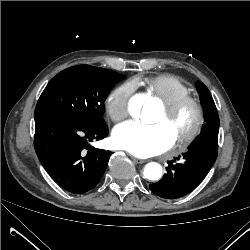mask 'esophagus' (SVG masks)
Returning a JSON list of instances; mask_svg holds the SVG:
<instances>
[{"mask_svg":"<svg viewBox=\"0 0 250 250\" xmlns=\"http://www.w3.org/2000/svg\"><path fill=\"white\" fill-rule=\"evenodd\" d=\"M132 160L137 163V164H143L146 162V160H143V159H139V158H136V157H132Z\"/></svg>","mask_w":250,"mask_h":250,"instance_id":"34e87169","label":"esophagus"}]
</instances>
